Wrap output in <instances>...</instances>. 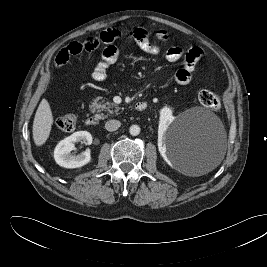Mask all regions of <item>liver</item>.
I'll list each match as a JSON object with an SVG mask.
<instances>
[{"label":"liver","instance_id":"6515ba94","mask_svg":"<svg viewBox=\"0 0 267 267\" xmlns=\"http://www.w3.org/2000/svg\"><path fill=\"white\" fill-rule=\"evenodd\" d=\"M53 124V115L46 99H42L33 121V140L36 146H42L49 138Z\"/></svg>","mask_w":267,"mask_h":267}]
</instances>
